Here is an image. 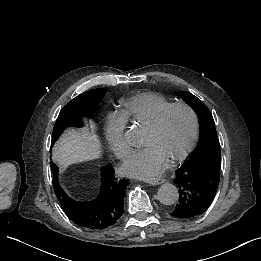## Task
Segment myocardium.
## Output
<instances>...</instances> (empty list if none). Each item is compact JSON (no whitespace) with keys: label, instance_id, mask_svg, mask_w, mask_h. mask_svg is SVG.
I'll use <instances>...</instances> for the list:
<instances>
[{"label":"myocardium","instance_id":"obj_1","mask_svg":"<svg viewBox=\"0 0 261 261\" xmlns=\"http://www.w3.org/2000/svg\"><path fill=\"white\" fill-rule=\"evenodd\" d=\"M172 108L183 109L190 114L193 120V130L186 146L179 153L172 155L166 159V161L169 163L183 159L189 153V151L195 146L200 134V118L197 111L192 106L182 102H171L165 105L159 111H157L153 116L144 120L143 123L150 127L156 126L160 118L162 117V115Z\"/></svg>","mask_w":261,"mask_h":261}]
</instances>
